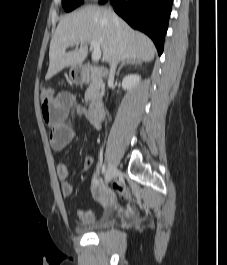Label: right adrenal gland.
I'll return each mask as SVG.
<instances>
[{
    "mask_svg": "<svg viewBox=\"0 0 227 265\" xmlns=\"http://www.w3.org/2000/svg\"><path fill=\"white\" fill-rule=\"evenodd\" d=\"M129 64H130V65H139V64H141V61H140V60H132V61H130V60H125V61H123L122 64L120 65L118 71H117V74L120 73V70H121L125 65H129Z\"/></svg>",
    "mask_w": 227,
    "mask_h": 265,
    "instance_id": "right-adrenal-gland-1",
    "label": "right adrenal gland"
}]
</instances>
